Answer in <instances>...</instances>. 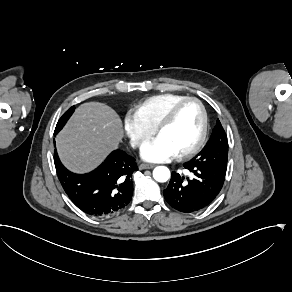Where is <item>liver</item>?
<instances>
[{
  "mask_svg": "<svg viewBox=\"0 0 292 292\" xmlns=\"http://www.w3.org/2000/svg\"><path fill=\"white\" fill-rule=\"evenodd\" d=\"M122 134L121 121L111 108L97 102L85 103L59 135L57 146L69 168L85 172L117 146Z\"/></svg>",
  "mask_w": 292,
  "mask_h": 292,
  "instance_id": "obj_1",
  "label": "liver"
}]
</instances>
